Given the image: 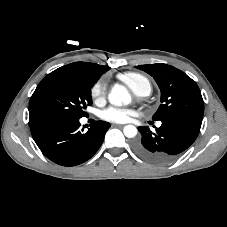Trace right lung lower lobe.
<instances>
[{
  "label": "right lung lower lobe",
  "instance_id": "right-lung-lower-lobe-1",
  "mask_svg": "<svg viewBox=\"0 0 227 227\" xmlns=\"http://www.w3.org/2000/svg\"><path fill=\"white\" fill-rule=\"evenodd\" d=\"M81 127L79 119L46 121L30 126L42 153L62 166H75L90 159L103 143L110 124L95 122Z\"/></svg>",
  "mask_w": 227,
  "mask_h": 227
}]
</instances>
